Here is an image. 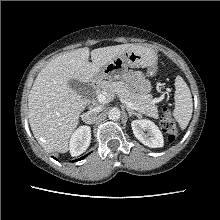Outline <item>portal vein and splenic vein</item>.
Here are the masks:
<instances>
[{
  "instance_id": "obj_1",
  "label": "portal vein and splenic vein",
  "mask_w": 220,
  "mask_h": 220,
  "mask_svg": "<svg viewBox=\"0 0 220 220\" xmlns=\"http://www.w3.org/2000/svg\"><path fill=\"white\" fill-rule=\"evenodd\" d=\"M97 100H98L99 103H107L111 100V98L106 94H99V95H97ZM124 103L126 104L127 107H129L133 110H138L139 109V107H137L136 105H134L131 102L126 101Z\"/></svg>"
}]
</instances>
